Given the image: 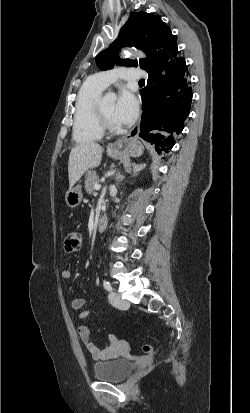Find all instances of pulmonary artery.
<instances>
[{"label":"pulmonary artery","instance_id":"1","mask_svg":"<svg viewBox=\"0 0 250 413\" xmlns=\"http://www.w3.org/2000/svg\"><path fill=\"white\" fill-rule=\"evenodd\" d=\"M144 72L138 68L117 67L111 70L99 72L91 77V80L100 88L105 89L119 78L126 80H139Z\"/></svg>","mask_w":250,"mask_h":413}]
</instances>
